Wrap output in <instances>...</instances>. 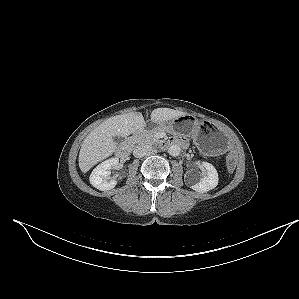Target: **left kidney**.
<instances>
[{
	"instance_id": "left-kidney-1",
	"label": "left kidney",
	"mask_w": 299,
	"mask_h": 299,
	"mask_svg": "<svg viewBox=\"0 0 299 299\" xmlns=\"http://www.w3.org/2000/svg\"><path fill=\"white\" fill-rule=\"evenodd\" d=\"M201 166L206 169L207 175L200 178L199 182H196L195 174L192 171H187L184 175L185 183L193 190L204 193L218 185V173L215 167L208 163L202 162Z\"/></svg>"
}]
</instances>
